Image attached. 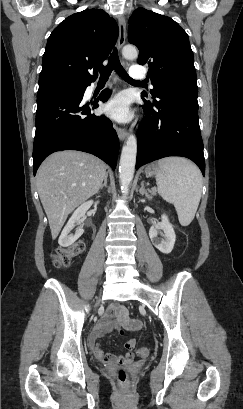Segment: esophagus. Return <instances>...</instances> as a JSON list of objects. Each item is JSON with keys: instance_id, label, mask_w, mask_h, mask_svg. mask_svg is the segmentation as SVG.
<instances>
[{"instance_id": "34e87169", "label": "esophagus", "mask_w": 243, "mask_h": 409, "mask_svg": "<svg viewBox=\"0 0 243 409\" xmlns=\"http://www.w3.org/2000/svg\"><path fill=\"white\" fill-rule=\"evenodd\" d=\"M118 27H119L118 49L121 50L125 44V39H126V22H125L124 16L119 17ZM122 64H125L123 59H122ZM116 132L121 141L125 140L128 135L125 129L119 128L117 126H116Z\"/></svg>"}]
</instances>
